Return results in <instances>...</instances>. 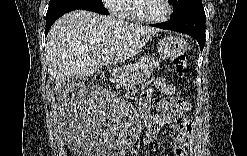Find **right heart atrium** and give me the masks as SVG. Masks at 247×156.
I'll use <instances>...</instances> for the list:
<instances>
[{
    "label": "right heart atrium",
    "instance_id": "right-heart-atrium-1",
    "mask_svg": "<svg viewBox=\"0 0 247 156\" xmlns=\"http://www.w3.org/2000/svg\"><path fill=\"white\" fill-rule=\"evenodd\" d=\"M123 1L120 0H106L104 6L113 14L120 15L123 9Z\"/></svg>",
    "mask_w": 247,
    "mask_h": 156
}]
</instances>
